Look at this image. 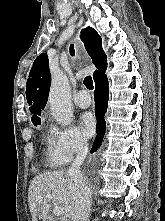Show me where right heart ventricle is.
Returning a JSON list of instances; mask_svg holds the SVG:
<instances>
[{"label":"right heart ventricle","mask_w":165,"mask_h":221,"mask_svg":"<svg viewBox=\"0 0 165 221\" xmlns=\"http://www.w3.org/2000/svg\"><path fill=\"white\" fill-rule=\"evenodd\" d=\"M48 161H49L50 165H52V166H60V165L64 164L63 162L52 158L50 155H49Z\"/></svg>","instance_id":"right-heart-ventricle-1"}]
</instances>
